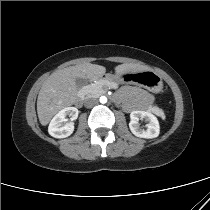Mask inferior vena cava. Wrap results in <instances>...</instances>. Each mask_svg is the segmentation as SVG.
I'll use <instances>...</instances> for the list:
<instances>
[{"label":"inferior vena cava","instance_id":"obj_1","mask_svg":"<svg viewBox=\"0 0 210 210\" xmlns=\"http://www.w3.org/2000/svg\"><path fill=\"white\" fill-rule=\"evenodd\" d=\"M96 104H97V100L95 98H90L85 101V107L87 108H92Z\"/></svg>","mask_w":210,"mask_h":210}]
</instances>
